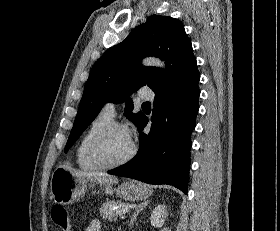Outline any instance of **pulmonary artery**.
<instances>
[{"mask_svg":"<svg viewBox=\"0 0 280 231\" xmlns=\"http://www.w3.org/2000/svg\"><path fill=\"white\" fill-rule=\"evenodd\" d=\"M138 96L144 100H152L154 98V93L147 87H144L138 92ZM100 113L113 119L116 116L117 111L115 105L112 102H108L103 105Z\"/></svg>","mask_w":280,"mask_h":231,"instance_id":"1","label":"pulmonary artery"}]
</instances>
